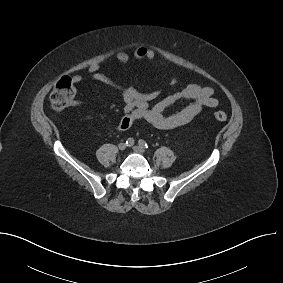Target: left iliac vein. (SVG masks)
Here are the masks:
<instances>
[{
    "mask_svg": "<svg viewBox=\"0 0 283 283\" xmlns=\"http://www.w3.org/2000/svg\"><path fill=\"white\" fill-rule=\"evenodd\" d=\"M133 150L137 153H140V154H144L145 153V149L141 146H133Z\"/></svg>",
    "mask_w": 283,
    "mask_h": 283,
    "instance_id": "left-iliac-vein-1",
    "label": "left iliac vein"
}]
</instances>
